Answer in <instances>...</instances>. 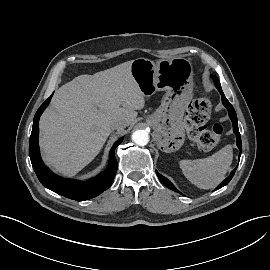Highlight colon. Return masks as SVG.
<instances>
[{"instance_id":"obj_1","label":"colon","mask_w":270,"mask_h":270,"mask_svg":"<svg viewBox=\"0 0 270 270\" xmlns=\"http://www.w3.org/2000/svg\"><path fill=\"white\" fill-rule=\"evenodd\" d=\"M210 113L211 103L206 97L192 101L185 113L184 125L187 137L201 151L213 149L220 142L224 131L220 123H214L211 127L206 126Z\"/></svg>"}]
</instances>
